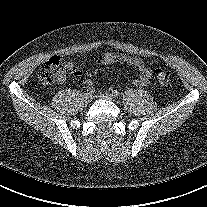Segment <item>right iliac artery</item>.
Returning a JSON list of instances; mask_svg holds the SVG:
<instances>
[{
	"label": "right iliac artery",
	"instance_id": "right-iliac-artery-1",
	"mask_svg": "<svg viewBox=\"0 0 207 207\" xmlns=\"http://www.w3.org/2000/svg\"><path fill=\"white\" fill-rule=\"evenodd\" d=\"M94 88L93 87H89V88H87V93H89V94H92V93H94Z\"/></svg>",
	"mask_w": 207,
	"mask_h": 207
}]
</instances>
